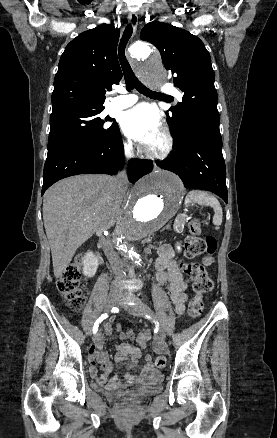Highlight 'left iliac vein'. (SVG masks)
<instances>
[{"label": "left iliac vein", "mask_w": 277, "mask_h": 438, "mask_svg": "<svg viewBox=\"0 0 277 438\" xmlns=\"http://www.w3.org/2000/svg\"><path fill=\"white\" fill-rule=\"evenodd\" d=\"M138 306L135 308H132L128 305H123L124 309L135 316H146L151 318L152 320H156V316L154 312L150 309L149 306L142 303L140 300H137ZM158 336L161 341H164L166 338L165 330L162 326H159Z\"/></svg>", "instance_id": "4c4485c4"}]
</instances>
